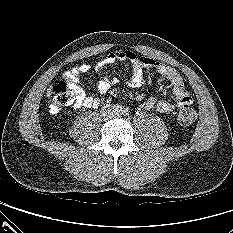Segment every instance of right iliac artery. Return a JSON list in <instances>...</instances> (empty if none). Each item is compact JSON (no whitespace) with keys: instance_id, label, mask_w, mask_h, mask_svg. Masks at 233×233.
I'll use <instances>...</instances> for the list:
<instances>
[{"instance_id":"obj_1","label":"right iliac artery","mask_w":233,"mask_h":233,"mask_svg":"<svg viewBox=\"0 0 233 233\" xmlns=\"http://www.w3.org/2000/svg\"><path fill=\"white\" fill-rule=\"evenodd\" d=\"M115 110H116L117 112H121V111H122V107L118 105V106H116Z\"/></svg>"}]
</instances>
